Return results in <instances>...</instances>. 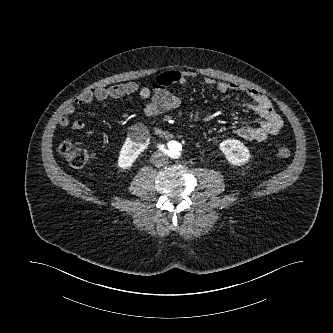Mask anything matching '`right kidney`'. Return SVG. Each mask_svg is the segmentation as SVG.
Returning <instances> with one entry per match:
<instances>
[{"instance_id": "obj_1", "label": "right kidney", "mask_w": 333, "mask_h": 333, "mask_svg": "<svg viewBox=\"0 0 333 333\" xmlns=\"http://www.w3.org/2000/svg\"><path fill=\"white\" fill-rule=\"evenodd\" d=\"M148 136L127 137L118 157L117 165L119 168L125 170L132 167L138 156L148 146Z\"/></svg>"}]
</instances>
